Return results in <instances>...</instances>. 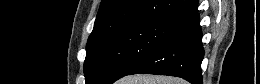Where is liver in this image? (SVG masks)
I'll return each mask as SVG.
<instances>
[{"label":"liver","mask_w":260,"mask_h":84,"mask_svg":"<svg viewBox=\"0 0 260 84\" xmlns=\"http://www.w3.org/2000/svg\"><path fill=\"white\" fill-rule=\"evenodd\" d=\"M122 84H184L178 78L155 76V75H134L124 78Z\"/></svg>","instance_id":"liver-1"}]
</instances>
